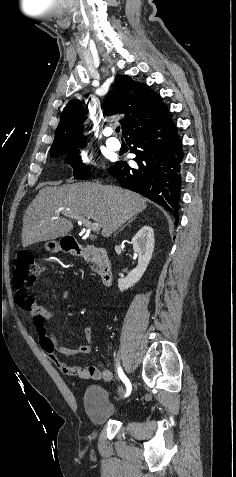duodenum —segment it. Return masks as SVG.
Listing matches in <instances>:
<instances>
[{
  "mask_svg": "<svg viewBox=\"0 0 236 477\" xmlns=\"http://www.w3.org/2000/svg\"><path fill=\"white\" fill-rule=\"evenodd\" d=\"M65 247L74 251L78 255L85 254V247L74 239L66 238ZM94 256L97 259L98 267L100 270V279L103 286H109L113 279V268L108 260L106 252L102 248H95L93 251Z\"/></svg>",
  "mask_w": 236,
  "mask_h": 477,
  "instance_id": "1",
  "label": "duodenum"
}]
</instances>
